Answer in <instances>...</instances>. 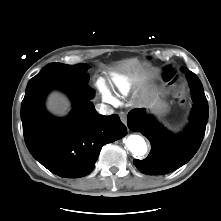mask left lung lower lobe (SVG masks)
Wrapping results in <instances>:
<instances>
[{
  "mask_svg": "<svg viewBox=\"0 0 221 221\" xmlns=\"http://www.w3.org/2000/svg\"><path fill=\"white\" fill-rule=\"evenodd\" d=\"M190 84L193 97L191 121L178 137L171 136L152 115L144 109H134L128 114V127L141 132L151 144V152L143 160L135 159V166L148 175H162L186 164L197 152L203 140L208 121V102L198 77L182 68Z\"/></svg>",
  "mask_w": 221,
  "mask_h": 221,
  "instance_id": "1",
  "label": "left lung lower lobe"
}]
</instances>
